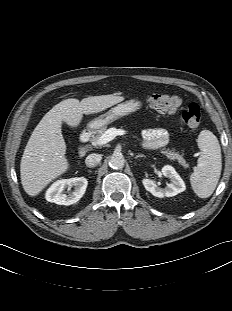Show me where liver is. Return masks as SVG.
Returning a JSON list of instances; mask_svg holds the SVG:
<instances>
[{"label":"liver","instance_id":"1","mask_svg":"<svg viewBox=\"0 0 232 311\" xmlns=\"http://www.w3.org/2000/svg\"><path fill=\"white\" fill-rule=\"evenodd\" d=\"M124 100L123 96H91L79 101L70 98L49 110L32 132L20 163L21 184L30 196L38 195L52 180L69 168L62 122L77 127L83 114L101 112Z\"/></svg>","mask_w":232,"mask_h":311}]
</instances>
